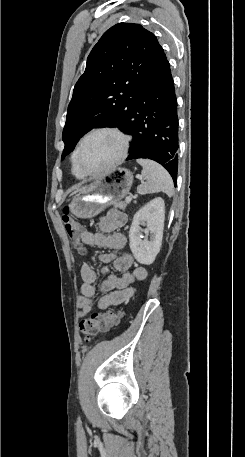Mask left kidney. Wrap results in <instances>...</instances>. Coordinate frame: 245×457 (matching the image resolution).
Returning <instances> with one entry per match:
<instances>
[{
    "label": "left kidney",
    "instance_id": "1",
    "mask_svg": "<svg viewBox=\"0 0 245 457\" xmlns=\"http://www.w3.org/2000/svg\"><path fill=\"white\" fill-rule=\"evenodd\" d=\"M165 204L161 196L153 198L142 208L135 212L130 226L129 241L130 249L137 263L141 265H152L162 245L163 226L165 220ZM140 224H146L147 229H141ZM144 231L148 237H141Z\"/></svg>",
    "mask_w": 245,
    "mask_h": 457
}]
</instances>
